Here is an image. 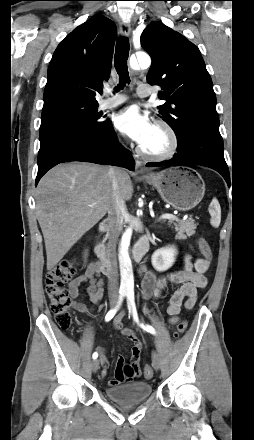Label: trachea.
Returning <instances> with one entry per match:
<instances>
[{"instance_id":"obj_1","label":"trachea","mask_w":254,"mask_h":440,"mask_svg":"<svg viewBox=\"0 0 254 440\" xmlns=\"http://www.w3.org/2000/svg\"><path fill=\"white\" fill-rule=\"evenodd\" d=\"M129 56V41L126 37L117 40L115 50V68L120 77V84L117 89H122L129 82L127 60Z\"/></svg>"}]
</instances>
